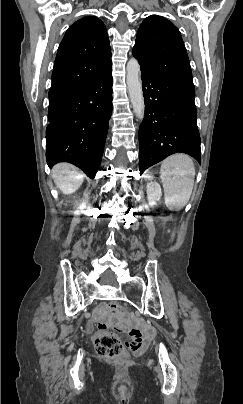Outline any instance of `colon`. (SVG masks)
Wrapping results in <instances>:
<instances>
[{"mask_svg": "<svg viewBox=\"0 0 243 404\" xmlns=\"http://www.w3.org/2000/svg\"><path fill=\"white\" fill-rule=\"evenodd\" d=\"M107 311L116 315L123 313L124 308L118 303H110ZM95 345L100 356L115 358L123 355L127 350L136 353L144 351L148 345V339L139 328L132 327L122 336L112 332H101L95 338Z\"/></svg>", "mask_w": 243, "mask_h": 404, "instance_id": "5ec220e1", "label": "colon"}]
</instances>
